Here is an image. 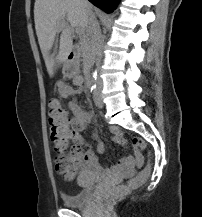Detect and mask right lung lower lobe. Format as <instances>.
<instances>
[{
    "label": "right lung lower lobe",
    "mask_w": 202,
    "mask_h": 217,
    "mask_svg": "<svg viewBox=\"0 0 202 217\" xmlns=\"http://www.w3.org/2000/svg\"><path fill=\"white\" fill-rule=\"evenodd\" d=\"M96 7L105 10L107 13H111L117 6L119 0H89Z\"/></svg>",
    "instance_id": "obj_1"
}]
</instances>
